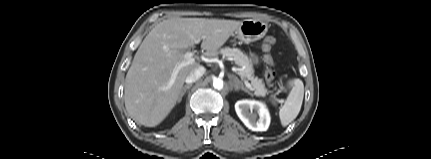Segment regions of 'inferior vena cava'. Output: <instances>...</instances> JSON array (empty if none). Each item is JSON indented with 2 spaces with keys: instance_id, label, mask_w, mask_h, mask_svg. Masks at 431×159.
I'll list each match as a JSON object with an SVG mask.
<instances>
[{
  "instance_id": "inferior-vena-cava-1",
  "label": "inferior vena cava",
  "mask_w": 431,
  "mask_h": 159,
  "mask_svg": "<svg viewBox=\"0 0 431 159\" xmlns=\"http://www.w3.org/2000/svg\"><path fill=\"white\" fill-rule=\"evenodd\" d=\"M206 69L203 66H200L198 68H196L194 71H192L185 79V82L187 84H191L196 82L199 78H201L203 76V74L205 73Z\"/></svg>"
}]
</instances>
